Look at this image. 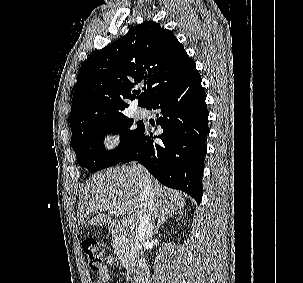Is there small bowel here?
I'll use <instances>...</instances> for the list:
<instances>
[{
    "mask_svg": "<svg viewBox=\"0 0 303 283\" xmlns=\"http://www.w3.org/2000/svg\"><path fill=\"white\" fill-rule=\"evenodd\" d=\"M115 263V258H109L104 267L99 271L95 283H107L110 280L109 267Z\"/></svg>",
    "mask_w": 303,
    "mask_h": 283,
    "instance_id": "c3829d8e",
    "label": "small bowel"
}]
</instances>
